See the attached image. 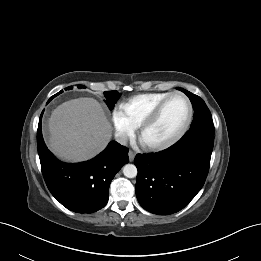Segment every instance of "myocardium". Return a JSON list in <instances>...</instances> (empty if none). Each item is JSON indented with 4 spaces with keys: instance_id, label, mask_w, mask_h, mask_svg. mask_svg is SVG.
Returning <instances> with one entry per match:
<instances>
[{
    "instance_id": "myocardium-1",
    "label": "myocardium",
    "mask_w": 261,
    "mask_h": 261,
    "mask_svg": "<svg viewBox=\"0 0 261 261\" xmlns=\"http://www.w3.org/2000/svg\"><path fill=\"white\" fill-rule=\"evenodd\" d=\"M175 96L182 97L186 104H187V118L185 120V123L181 127V129L172 137H170L167 140L160 141V142H146L143 140V135L145 131L154 124V122L157 120L158 116L160 115L163 107L165 104ZM193 119V105L189 99V97L180 91H174L169 93L165 98H163L146 116V118L142 121V123L138 127V139L140 143L143 145V147L150 149V150H162L166 149L176 142H178L189 130L191 123Z\"/></svg>"
}]
</instances>
